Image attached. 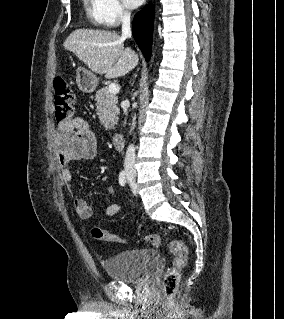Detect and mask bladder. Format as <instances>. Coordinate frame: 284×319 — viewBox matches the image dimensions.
I'll return each instance as SVG.
<instances>
[{"instance_id":"obj_1","label":"bladder","mask_w":284,"mask_h":319,"mask_svg":"<svg viewBox=\"0 0 284 319\" xmlns=\"http://www.w3.org/2000/svg\"><path fill=\"white\" fill-rule=\"evenodd\" d=\"M160 264L154 249L141 248L119 252L104 260L107 275L120 282H138L149 276Z\"/></svg>"}]
</instances>
